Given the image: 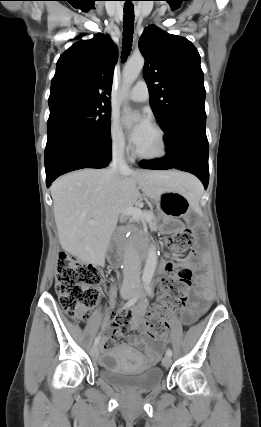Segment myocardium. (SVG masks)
<instances>
[{"mask_svg": "<svg viewBox=\"0 0 261 427\" xmlns=\"http://www.w3.org/2000/svg\"><path fill=\"white\" fill-rule=\"evenodd\" d=\"M152 128L157 133L159 138V144H160L159 151L155 154L148 155V154H142L137 149H134V156L140 160L156 161V160L162 159L167 155L168 145H167V139H166L164 130L157 125L152 126Z\"/></svg>", "mask_w": 261, "mask_h": 427, "instance_id": "f54148a6", "label": "myocardium"}]
</instances>
